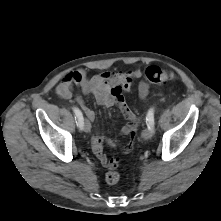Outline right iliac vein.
<instances>
[{
	"label": "right iliac vein",
	"mask_w": 221,
	"mask_h": 221,
	"mask_svg": "<svg viewBox=\"0 0 221 221\" xmlns=\"http://www.w3.org/2000/svg\"><path fill=\"white\" fill-rule=\"evenodd\" d=\"M83 129L87 133L90 132V130H91V124L87 119H85L83 122Z\"/></svg>",
	"instance_id": "obj_1"
}]
</instances>
